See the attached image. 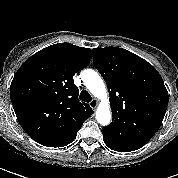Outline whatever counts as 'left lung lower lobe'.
<instances>
[{
    "label": "left lung lower lobe",
    "instance_id": "0a47b994",
    "mask_svg": "<svg viewBox=\"0 0 178 178\" xmlns=\"http://www.w3.org/2000/svg\"><path fill=\"white\" fill-rule=\"evenodd\" d=\"M103 137H104L105 144L112 150H115L118 152H130V151L137 150L134 148H130V147L123 146V145L117 144L115 142H112L109 139H107L105 136H103Z\"/></svg>",
    "mask_w": 178,
    "mask_h": 178
}]
</instances>
